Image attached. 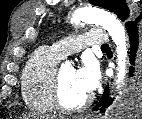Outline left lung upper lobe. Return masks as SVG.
<instances>
[{
	"instance_id": "1",
	"label": "left lung upper lobe",
	"mask_w": 142,
	"mask_h": 119,
	"mask_svg": "<svg viewBox=\"0 0 142 119\" xmlns=\"http://www.w3.org/2000/svg\"><path fill=\"white\" fill-rule=\"evenodd\" d=\"M91 4L114 12L125 24L135 17L129 18V9L125 0H89Z\"/></svg>"
}]
</instances>
